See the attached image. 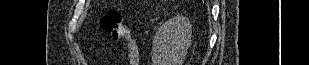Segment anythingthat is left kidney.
Instances as JSON below:
<instances>
[{"instance_id": "5707ae66", "label": "left kidney", "mask_w": 309, "mask_h": 65, "mask_svg": "<svg viewBox=\"0 0 309 65\" xmlns=\"http://www.w3.org/2000/svg\"><path fill=\"white\" fill-rule=\"evenodd\" d=\"M191 23L176 15L163 23L156 32L152 46V65H183L191 45Z\"/></svg>"}]
</instances>
